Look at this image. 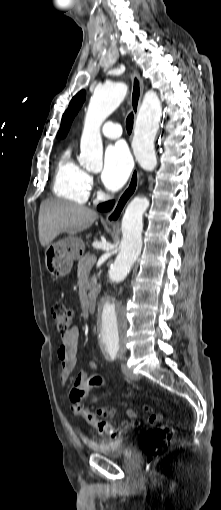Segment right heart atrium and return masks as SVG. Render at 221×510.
Returning a JSON list of instances; mask_svg holds the SVG:
<instances>
[{
	"mask_svg": "<svg viewBox=\"0 0 221 510\" xmlns=\"http://www.w3.org/2000/svg\"><path fill=\"white\" fill-rule=\"evenodd\" d=\"M89 186H90V188L94 187V179L91 176H89Z\"/></svg>",
	"mask_w": 221,
	"mask_h": 510,
	"instance_id": "1",
	"label": "right heart atrium"
}]
</instances>
